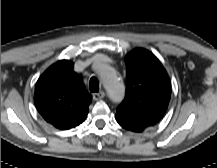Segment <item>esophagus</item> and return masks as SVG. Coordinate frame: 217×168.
<instances>
[{
	"label": "esophagus",
	"mask_w": 217,
	"mask_h": 168,
	"mask_svg": "<svg viewBox=\"0 0 217 168\" xmlns=\"http://www.w3.org/2000/svg\"><path fill=\"white\" fill-rule=\"evenodd\" d=\"M105 97V92L104 91H100L98 93H94L93 94V99L98 101V100H101Z\"/></svg>",
	"instance_id": "1"
}]
</instances>
